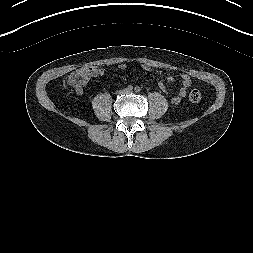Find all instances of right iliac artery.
<instances>
[{
  "mask_svg": "<svg viewBox=\"0 0 253 253\" xmlns=\"http://www.w3.org/2000/svg\"><path fill=\"white\" fill-rule=\"evenodd\" d=\"M128 89H129V90H132V89H133V87H132L131 85H129V86H128Z\"/></svg>",
  "mask_w": 253,
  "mask_h": 253,
  "instance_id": "1",
  "label": "right iliac artery"
}]
</instances>
